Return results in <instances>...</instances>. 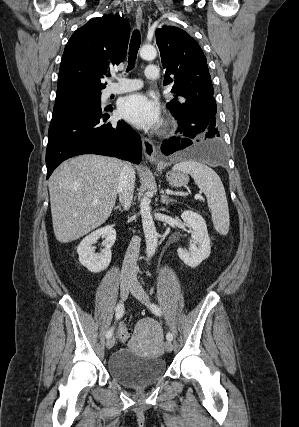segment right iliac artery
I'll return each instance as SVG.
<instances>
[{
    "mask_svg": "<svg viewBox=\"0 0 299 427\" xmlns=\"http://www.w3.org/2000/svg\"><path fill=\"white\" fill-rule=\"evenodd\" d=\"M124 314V305L122 303H119L116 307V320L120 319ZM114 328H110L107 333L106 337L110 338L113 335Z\"/></svg>",
    "mask_w": 299,
    "mask_h": 427,
    "instance_id": "1",
    "label": "right iliac artery"
}]
</instances>
